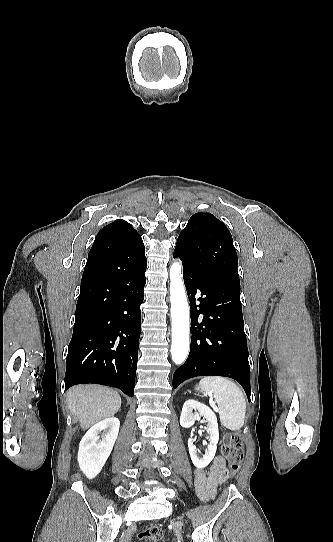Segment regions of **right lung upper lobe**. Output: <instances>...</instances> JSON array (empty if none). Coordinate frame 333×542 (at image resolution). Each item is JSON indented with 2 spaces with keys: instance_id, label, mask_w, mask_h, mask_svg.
<instances>
[{
  "instance_id": "1",
  "label": "right lung upper lobe",
  "mask_w": 333,
  "mask_h": 542,
  "mask_svg": "<svg viewBox=\"0 0 333 542\" xmlns=\"http://www.w3.org/2000/svg\"><path fill=\"white\" fill-rule=\"evenodd\" d=\"M141 241V236L128 222L116 220L99 231L89 253L110 250L117 246Z\"/></svg>"
}]
</instances>
